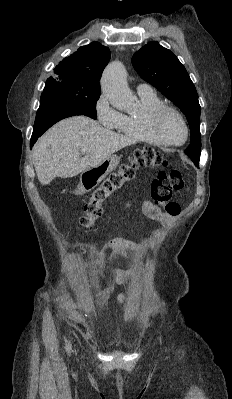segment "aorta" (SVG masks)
Listing matches in <instances>:
<instances>
[{"instance_id":"762f6f07","label":"aorta","mask_w":232,"mask_h":399,"mask_svg":"<svg viewBox=\"0 0 232 399\" xmlns=\"http://www.w3.org/2000/svg\"><path fill=\"white\" fill-rule=\"evenodd\" d=\"M101 88L112 106L117 109L127 110L134 103L135 98L128 87L126 70L121 62H111L105 68Z\"/></svg>"}]
</instances>
